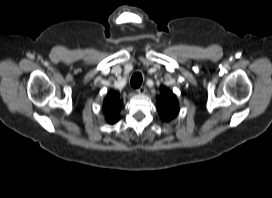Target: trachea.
I'll list each match as a JSON object with an SVG mask.
<instances>
[{"label": "trachea", "instance_id": "1", "mask_svg": "<svg viewBox=\"0 0 272 198\" xmlns=\"http://www.w3.org/2000/svg\"><path fill=\"white\" fill-rule=\"evenodd\" d=\"M142 84V75L141 73H134L131 77V86L133 88H138Z\"/></svg>", "mask_w": 272, "mask_h": 198}]
</instances>
